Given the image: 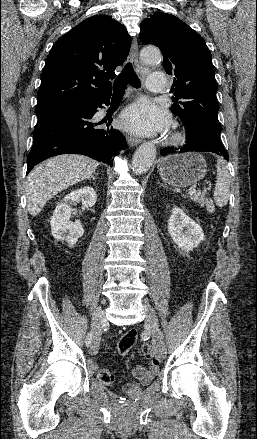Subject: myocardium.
<instances>
[{
  "instance_id": "1",
  "label": "myocardium",
  "mask_w": 257,
  "mask_h": 439,
  "mask_svg": "<svg viewBox=\"0 0 257 439\" xmlns=\"http://www.w3.org/2000/svg\"><path fill=\"white\" fill-rule=\"evenodd\" d=\"M184 139V135L180 131H174L168 138V142L171 144L180 143Z\"/></svg>"
}]
</instances>
